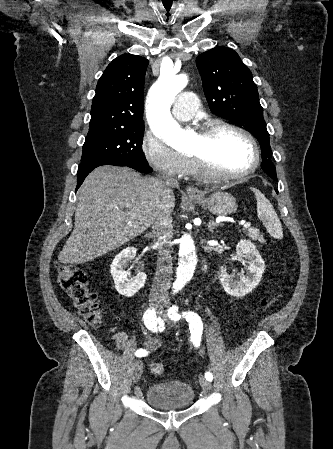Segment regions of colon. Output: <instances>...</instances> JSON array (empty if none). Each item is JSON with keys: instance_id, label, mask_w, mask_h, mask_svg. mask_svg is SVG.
Returning a JSON list of instances; mask_svg holds the SVG:
<instances>
[{"instance_id": "obj_1", "label": "colon", "mask_w": 333, "mask_h": 449, "mask_svg": "<svg viewBox=\"0 0 333 449\" xmlns=\"http://www.w3.org/2000/svg\"><path fill=\"white\" fill-rule=\"evenodd\" d=\"M292 269H290L291 271ZM57 279L59 287L71 298L74 306L82 317L93 327H98L102 319V309L99 305L96 295L89 290L87 286L86 273L67 264H57ZM286 294V291L280 292L276 297L263 299L260 305L263 310H268L276 305ZM151 372L160 375L164 371V365L160 362H154L150 366Z\"/></svg>"}]
</instances>
